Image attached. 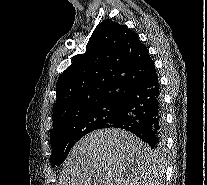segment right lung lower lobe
Here are the masks:
<instances>
[{"label":"right lung lower lobe","instance_id":"right-lung-lower-lobe-1","mask_svg":"<svg viewBox=\"0 0 207 185\" xmlns=\"http://www.w3.org/2000/svg\"><path fill=\"white\" fill-rule=\"evenodd\" d=\"M116 121L104 128L128 130L152 149L163 147L164 114L158 77L154 76L133 84L120 97Z\"/></svg>","mask_w":207,"mask_h":185}]
</instances>
